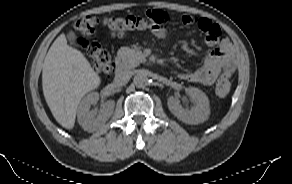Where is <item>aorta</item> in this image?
Returning <instances> with one entry per match:
<instances>
[{
  "label": "aorta",
  "mask_w": 292,
  "mask_h": 184,
  "mask_svg": "<svg viewBox=\"0 0 292 184\" xmlns=\"http://www.w3.org/2000/svg\"><path fill=\"white\" fill-rule=\"evenodd\" d=\"M133 82L136 87L144 88L148 85L149 79L145 73L139 72L135 75Z\"/></svg>",
  "instance_id": "762f6f07"
}]
</instances>
